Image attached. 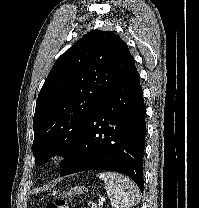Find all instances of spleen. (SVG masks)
<instances>
[{
	"label": "spleen",
	"mask_w": 199,
	"mask_h": 208,
	"mask_svg": "<svg viewBox=\"0 0 199 208\" xmlns=\"http://www.w3.org/2000/svg\"><path fill=\"white\" fill-rule=\"evenodd\" d=\"M98 177L106 185L113 208H130L139 202L140 191L128 177L110 171L101 172Z\"/></svg>",
	"instance_id": "spleen-1"
}]
</instances>
